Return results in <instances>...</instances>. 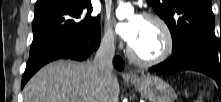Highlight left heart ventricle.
I'll use <instances>...</instances> for the list:
<instances>
[{
  "label": "left heart ventricle",
  "instance_id": "1",
  "mask_svg": "<svg viewBox=\"0 0 221 102\" xmlns=\"http://www.w3.org/2000/svg\"><path fill=\"white\" fill-rule=\"evenodd\" d=\"M130 45L140 57L151 59L163 51L165 39L156 23L142 18L137 38Z\"/></svg>",
  "mask_w": 221,
  "mask_h": 102
}]
</instances>
